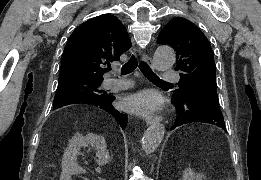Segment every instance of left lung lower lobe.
<instances>
[{
  "mask_svg": "<svg viewBox=\"0 0 261 180\" xmlns=\"http://www.w3.org/2000/svg\"><path fill=\"white\" fill-rule=\"evenodd\" d=\"M173 100L177 117L171 129L188 123L204 122L226 130L218 101L204 98L191 89H186L183 97H175Z\"/></svg>",
  "mask_w": 261,
  "mask_h": 180,
  "instance_id": "obj_1",
  "label": "left lung lower lobe"
}]
</instances>
